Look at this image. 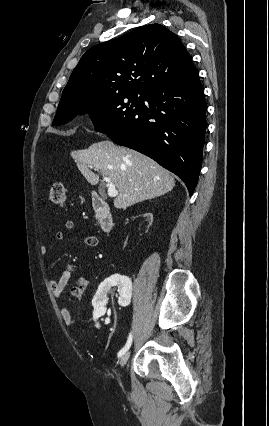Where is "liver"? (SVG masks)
<instances>
[{"label":"liver","instance_id":"1","mask_svg":"<svg viewBox=\"0 0 269 426\" xmlns=\"http://www.w3.org/2000/svg\"><path fill=\"white\" fill-rule=\"evenodd\" d=\"M71 156L91 185L99 182V175L89 170L90 166L113 182L119 192L114 199L117 209H126L162 196L175 186L171 173L154 160L108 140L94 143L87 149L72 151Z\"/></svg>","mask_w":269,"mask_h":426}]
</instances>
